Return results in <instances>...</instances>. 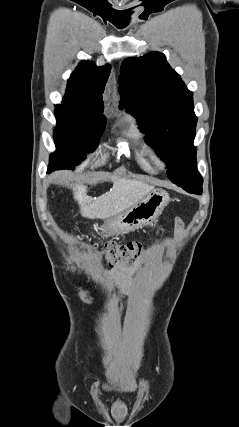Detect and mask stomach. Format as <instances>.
Here are the masks:
<instances>
[{
    "instance_id": "obj_1",
    "label": "stomach",
    "mask_w": 239,
    "mask_h": 427,
    "mask_svg": "<svg viewBox=\"0 0 239 427\" xmlns=\"http://www.w3.org/2000/svg\"><path fill=\"white\" fill-rule=\"evenodd\" d=\"M170 201L163 189H153L140 202L108 220L100 228L103 237L130 232L154 222Z\"/></svg>"
}]
</instances>
